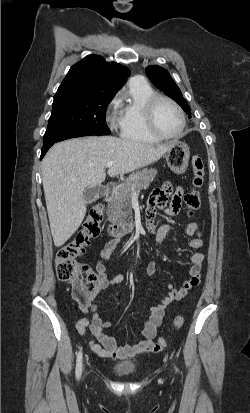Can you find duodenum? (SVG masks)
Here are the masks:
<instances>
[{
    "mask_svg": "<svg viewBox=\"0 0 250 413\" xmlns=\"http://www.w3.org/2000/svg\"><path fill=\"white\" fill-rule=\"evenodd\" d=\"M115 192V185L108 184L104 193V198L109 199L113 197ZM107 232L110 236L118 237L130 233L133 230V225L129 222L125 223H111L107 226Z\"/></svg>",
    "mask_w": 250,
    "mask_h": 413,
    "instance_id": "410a0bca",
    "label": "duodenum"
}]
</instances>
